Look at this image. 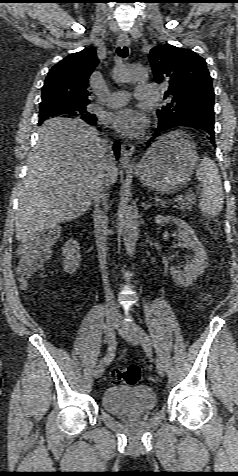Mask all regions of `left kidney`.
Returning <instances> with one entry per match:
<instances>
[{
  "label": "left kidney",
  "instance_id": "obj_1",
  "mask_svg": "<svg viewBox=\"0 0 238 476\" xmlns=\"http://www.w3.org/2000/svg\"><path fill=\"white\" fill-rule=\"evenodd\" d=\"M168 221H172L178 226L179 239L187 242L194 251V257L188 262L187 269L184 273H181L173 266L170 267V273L174 281L180 286L188 287L207 267V254L194 230L184 220L163 215H157L155 217V223L161 226Z\"/></svg>",
  "mask_w": 238,
  "mask_h": 476
}]
</instances>
